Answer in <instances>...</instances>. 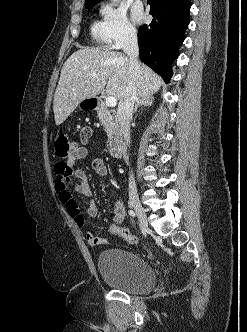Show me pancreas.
Wrapping results in <instances>:
<instances>
[{
	"label": "pancreas",
	"mask_w": 247,
	"mask_h": 332,
	"mask_svg": "<svg viewBox=\"0 0 247 332\" xmlns=\"http://www.w3.org/2000/svg\"><path fill=\"white\" fill-rule=\"evenodd\" d=\"M98 118L101 124L104 126V130L108 137H111L116 130V123L110 115L109 111L105 108H100L97 111Z\"/></svg>",
	"instance_id": "cf45deb5"
}]
</instances>
